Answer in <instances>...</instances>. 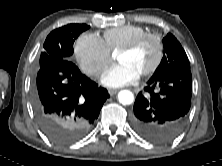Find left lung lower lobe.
Listing matches in <instances>:
<instances>
[{"label":"left lung lower lobe","mask_w":222,"mask_h":166,"mask_svg":"<svg viewBox=\"0 0 222 166\" xmlns=\"http://www.w3.org/2000/svg\"><path fill=\"white\" fill-rule=\"evenodd\" d=\"M190 69L153 75L134 103L132 126L145 140L166 144L185 127L191 106Z\"/></svg>","instance_id":"1"}]
</instances>
